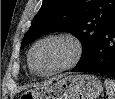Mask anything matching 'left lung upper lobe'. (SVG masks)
<instances>
[{
    "label": "left lung upper lobe",
    "mask_w": 115,
    "mask_h": 99,
    "mask_svg": "<svg viewBox=\"0 0 115 99\" xmlns=\"http://www.w3.org/2000/svg\"><path fill=\"white\" fill-rule=\"evenodd\" d=\"M114 19L115 0H44L21 48L48 33L70 32L82 43V61Z\"/></svg>",
    "instance_id": "1"
}]
</instances>
